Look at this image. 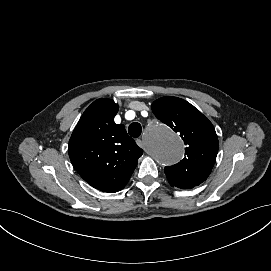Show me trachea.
<instances>
[{"label":"trachea","instance_id":"obj_1","mask_svg":"<svg viewBox=\"0 0 271 271\" xmlns=\"http://www.w3.org/2000/svg\"><path fill=\"white\" fill-rule=\"evenodd\" d=\"M141 132H142V127H141V124H139L138 122H133L128 127V133L134 138L139 137L141 135Z\"/></svg>","mask_w":271,"mask_h":271}]
</instances>
